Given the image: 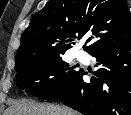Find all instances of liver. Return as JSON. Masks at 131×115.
Segmentation results:
<instances>
[{"instance_id":"6515ba94","label":"liver","mask_w":131,"mask_h":115,"mask_svg":"<svg viewBox=\"0 0 131 115\" xmlns=\"http://www.w3.org/2000/svg\"><path fill=\"white\" fill-rule=\"evenodd\" d=\"M5 115H78L75 111L61 106L42 105L32 100H19L5 111Z\"/></svg>"}]
</instances>
